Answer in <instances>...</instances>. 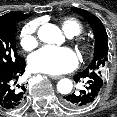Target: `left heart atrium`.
<instances>
[{
  "mask_svg": "<svg viewBox=\"0 0 117 117\" xmlns=\"http://www.w3.org/2000/svg\"><path fill=\"white\" fill-rule=\"evenodd\" d=\"M77 64L76 54L65 47L45 46L29 58L32 70L50 75L71 71Z\"/></svg>",
  "mask_w": 117,
  "mask_h": 117,
  "instance_id": "39dd6f15",
  "label": "left heart atrium"
}]
</instances>
